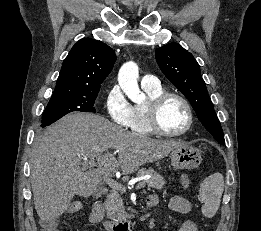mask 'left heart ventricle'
<instances>
[{
	"mask_svg": "<svg viewBox=\"0 0 261 231\" xmlns=\"http://www.w3.org/2000/svg\"><path fill=\"white\" fill-rule=\"evenodd\" d=\"M159 121L161 127L168 132L182 130L188 121L183 103L176 98L167 100L160 110Z\"/></svg>",
	"mask_w": 261,
	"mask_h": 231,
	"instance_id": "obj_1",
	"label": "left heart ventricle"
}]
</instances>
